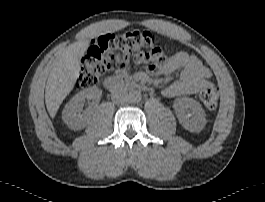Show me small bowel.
<instances>
[{"label":"small bowel","mask_w":265,"mask_h":202,"mask_svg":"<svg viewBox=\"0 0 265 202\" xmlns=\"http://www.w3.org/2000/svg\"><path fill=\"white\" fill-rule=\"evenodd\" d=\"M93 43L94 41H91L90 44ZM178 69H182V73L176 81L163 90L165 97L194 94L211 86L208 80L211 75L210 70L195 55L188 52L181 51L164 58L161 52L147 70L151 75H169Z\"/></svg>","instance_id":"obj_1"}]
</instances>
